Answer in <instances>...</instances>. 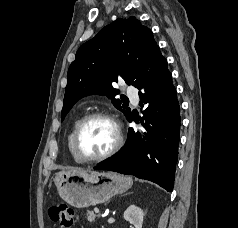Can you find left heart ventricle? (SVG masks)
<instances>
[{"label": "left heart ventricle", "instance_id": "left-heart-ventricle-1", "mask_svg": "<svg viewBox=\"0 0 238 228\" xmlns=\"http://www.w3.org/2000/svg\"><path fill=\"white\" fill-rule=\"evenodd\" d=\"M114 126L105 119H94L83 129L79 138V152L83 157H96L107 152L115 143Z\"/></svg>", "mask_w": 238, "mask_h": 228}]
</instances>
